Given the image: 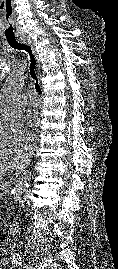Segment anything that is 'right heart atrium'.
Listing matches in <instances>:
<instances>
[{"label": "right heart atrium", "instance_id": "right-heart-atrium-1", "mask_svg": "<svg viewBox=\"0 0 118 269\" xmlns=\"http://www.w3.org/2000/svg\"><path fill=\"white\" fill-rule=\"evenodd\" d=\"M0 132L7 134L14 142L21 141L26 135L22 116L0 114Z\"/></svg>", "mask_w": 118, "mask_h": 269}]
</instances>
